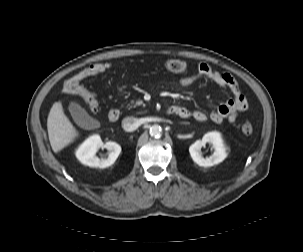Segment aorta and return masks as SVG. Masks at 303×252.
I'll use <instances>...</instances> for the list:
<instances>
[{"instance_id": "obj_1", "label": "aorta", "mask_w": 303, "mask_h": 252, "mask_svg": "<svg viewBox=\"0 0 303 252\" xmlns=\"http://www.w3.org/2000/svg\"><path fill=\"white\" fill-rule=\"evenodd\" d=\"M150 135L153 137H160L162 135V128L160 125L154 124L150 127Z\"/></svg>"}]
</instances>
